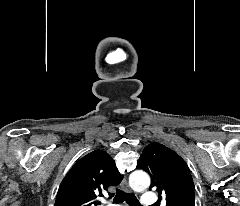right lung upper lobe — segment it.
<instances>
[{
    "mask_svg": "<svg viewBox=\"0 0 240 206\" xmlns=\"http://www.w3.org/2000/svg\"><path fill=\"white\" fill-rule=\"evenodd\" d=\"M122 179L111 156L95 150L81 158L65 176L54 206H96V198Z\"/></svg>",
    "mask_w": 240,
    "mask_h": 206,
    "instance_id": "cb5924a9",
    "label": "right lung upper lobe"
}]
</instances>
